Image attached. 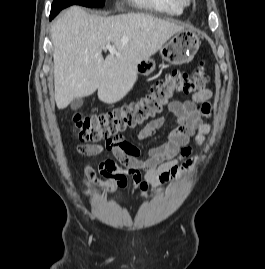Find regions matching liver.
<instances>
[{
  "label": "liver",
  "mask_w": 265,
  "mask_h": 269,
  "mask_svg": "<svg viewBox=\"0 0 265 269\" xmlns=\"http://www.w3.org/2000/svg\"><path fill=\"white\" fill-rule=\"evenodd\" d=\"M182 30L183 26L150 14L102 17L80 6L70 7L51 28L57 107L64 109L96 90L107 104L120 101L137 80L136 64ZM107 44L113 45L115 53L104 60Z\"/></svg>",
  "instance_id": "6515ba94"
}]
</instances>
